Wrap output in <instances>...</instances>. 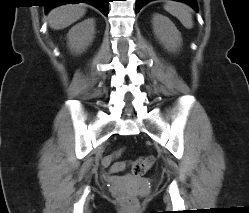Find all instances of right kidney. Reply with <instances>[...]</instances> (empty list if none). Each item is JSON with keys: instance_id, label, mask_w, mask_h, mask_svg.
Masks as SVG:
<instances>
[{"instance_id": "right-kidney-1", "label": "right kidney", "mask_w": 249, "mask_h": 213, "mask_svg": "<svg viewBox=\"0 0 249 213\" xmlns=\"http://www.w3.org/2000/svg\"><path fill=\"white\" fill-rule=\"evenodd\" d=\"M95 33V20L88 18L73 26L68 34V46L76 54L82 53L93 41Z\"/></svg>"}]
</instances>
